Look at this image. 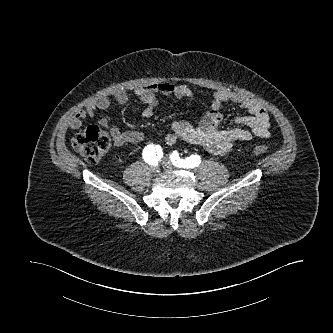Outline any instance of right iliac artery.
Here are the masks:
<instances>
[{
	"label": "right iliac artery",
	"mask_w": 333,
	"mask_h": 333,
	"mask_svg": "<svg viewBox=\"0 0 333 333\" xmlns=\"http://www.w3.org/2000/svg\"><path fill=\"white\" fill-rule=\"evenodd\" d=\"M143 158L149 165H157L158 161L163 157L162 148L159 145L150 144L143 150Z\"/></svg>",
	"instance_id": "1"
}]
</instances>
